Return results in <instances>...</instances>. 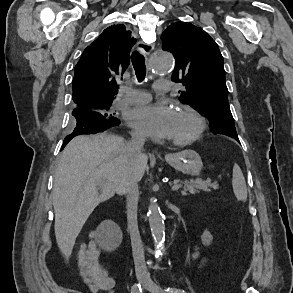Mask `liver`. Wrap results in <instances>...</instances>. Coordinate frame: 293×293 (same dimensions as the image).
I'll return each instance as SVG.
<instances>
[{
  "label": "liver",
  "mask_w": 293,
  "mask_h": 293,
  "mask_svg": "<svg viewBox=\"0 0 293 293\" xmlns=\"http://www.w3.org/2000/svg\"><path fill=\"white\" fill-rule=\"evenodd\" d=\"M148 157L132 156L118 136H76L59 160L52 191L56 242L65 257L72 253L86 220L102 202L121 194L123 175L132 170L138 181Z\"/></svg>",
  "instance_id": "obj_1"
}]
</instances>
